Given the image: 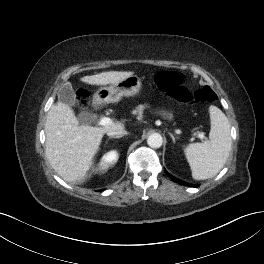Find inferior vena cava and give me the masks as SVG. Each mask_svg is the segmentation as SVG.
I'll list each match as a JSON object with an SVG mask.
<instances>
[{"instance_id":"602c4592","label":"inferior vena cava","mask_w":264,"mask_h":264,"mask_svg":"<svg viewBox=\"0 0 264 264\" xmlns=\"http://www.w3.org/2000/svg\"><path fill=\"white\" fill-rule=\"evenodd\" d=\"M127 134V131L124 128L116 129V130H109L107 132L108 136H119V135H125Z\"/></svg>"}]
</instances>
